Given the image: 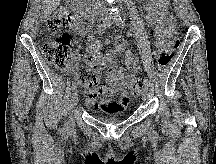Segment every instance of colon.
Masks as SVG:
<instances>
[{"label":"colon","mask_w":216,"mask_h":164,"mask_svg":"<svg viewBox=\"0 0 216 164\" xmlns=\"http://www.w3.org/2000/svg\"><path fill=\"white\" fill-rule=\"evenodd\" d=\"M74 17L66 8L58 9L47 23L49 40L43 45L42 53L45 59L56 68L66 71L71 65V41L69 30L74 26ZM179 47V36L174 25L167 38V45L158 57V66H168ZM78 82L85 88H94L99 80V71L95 68H81L76 72ZM143 81L135 79L131 94L138 95L142 91Z\"/></svg>","instance_id":"obj_1"}]
</instances>
